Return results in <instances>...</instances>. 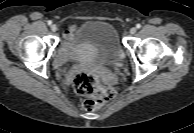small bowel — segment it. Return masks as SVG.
<instances>
[{"instance_id":"1","label":"small bowel","mask_w":194,"mask_h":133,"mask_svg":"<svg viewBox=\"0 0 194 133\" xmlns=\"http://www.w3.org/2000/svg\"><path fill=\"white\" fill-rule=\"evenodd\" d=\"M71 35H72V32L71 31H67L66 34H65L66 40H68Z\"/></svg>"}]
</instances>
